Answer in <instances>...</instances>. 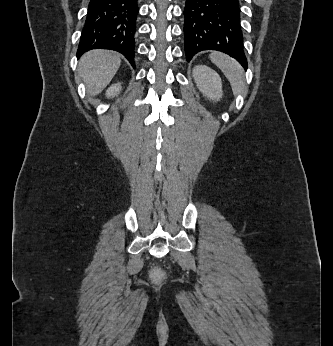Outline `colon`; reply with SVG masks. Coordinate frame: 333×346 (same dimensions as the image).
I'll use <instances>...</instances> for the list:
<instances>
[{"instance_id":"colon-1","label":"colon","mask_w":333,"mask_h":346,"mask_svg":"<svg viewBox=\"0 0 333 346\" xmlns=\"http://www.w3.org/2000/svg\"><path fill=\"white\" fill-rule=\"evenodd\" d=\"M150 275L152 276L153 280H156L157 282L167 279V274L164 273L163 269H151Z\"/></svg>"}]
</instances>
